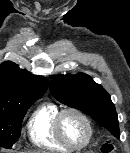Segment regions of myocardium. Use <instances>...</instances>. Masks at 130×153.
<instances>
[{
    "label": "myocardium",
    "instance_id": "f54148a6",
    "mask_svg": "<svg viewBox=\"0 0 130 153\" xmlns=\"http://www.w3.org/2000/svg\"><path fill=\"white\" fill-rule=\"evenodd\" d=\"M67 113L76 114L85 122V124L87 126L88 135H87L85 142L82 143L81 145H74V144L70 143L63 135L62 119ZM54 130H55L56 136L58 137L60 142L63 145H65L66 147H68L70 150H82V149L86 148L89 145V143L92 139V136H93V126H92L91 120L82 110H80L76 107H66V108L61 109L57 113L55 120H54Z\"/></svg>",
    "mask_w": 130,
    "mask_h": 153
}]
</instances>
